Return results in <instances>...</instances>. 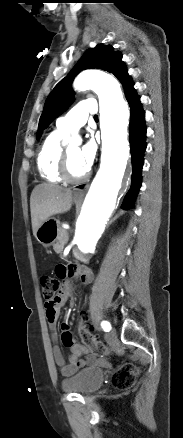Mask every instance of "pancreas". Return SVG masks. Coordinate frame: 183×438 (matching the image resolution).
I'll list each match as a JSON object with an SVG mask.
<instances>
[{"mask_svg": "<svg viewBox=\"0 0 183 438\" xmlns=\"http://www.w3.org/2000/svg\"><path fill=\"white\" fill-rule=\"evenodd\" d=\"M68 240H69L68 232L64 229H61L57 242L53 245L54 251L57 254H61Z\"/></svg>", "mask_w": 183, "mask_h": 438, "instance_id": "cf45deb5", "label": "pancreas"}]
</instances>
